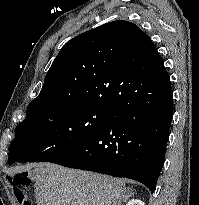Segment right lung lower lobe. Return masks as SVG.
Returning a JSON list of instances; mask_svg holds the SVG:
<instances>
[{"mask_svg":"<svg viewBox=\"0 0 199 205\" xmlns=\"http://www.w3.org/2000/svg\"><path fill=\"white\" fill-rule=\"evenodd\" d=\"M157 78L155 89L112 110L105 128L50 162L130 178L153 193L164 164L173 113L170 77L165 73Z\"/></svg>","mask_w":199,"mask_h":205,"instance_id":"98d812e1","label":"right lung lower lobe"}]
</instances>
